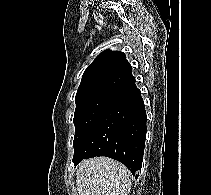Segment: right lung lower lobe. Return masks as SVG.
I'll return each instance as SVG.
<instances>
[{
	"instance_id": "98d812e1",
	"label": "right lung lower lobe",
	"mask_w": 211,
	"mask_h": 195,
	"mask_svg": "<svg viewBox=\"0 0 211 195\" xmlns=\"http://www.w3.org/2000/svg\"><path fill=\"white\" fill-rule=\"evenodd\" d=\"M146 140V111L135 83L115 91L74 150L73 162L107 156L133 175L141 169ZM138 175H136V178Z\"/></svg>"
}]
</instances>
